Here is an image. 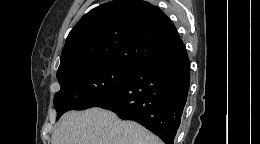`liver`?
I'll use <instances>...</instances> for the list:
<instances>
[{"mask_svg": "<svg viewBox=\"0 0 260 144\" xmlns=\"http://www.w3.org/2000/svg\"><path fill=\"white\" fill-rule=\"evenodd\" d=\"M52 144H162L133 121H121L111 111L94 107L65 113L52 133Z\"/></svg>", "mask_w": 260, "mask_h": 144, "instance_id": "obj_1", "label": "liver"}]
</instances>
